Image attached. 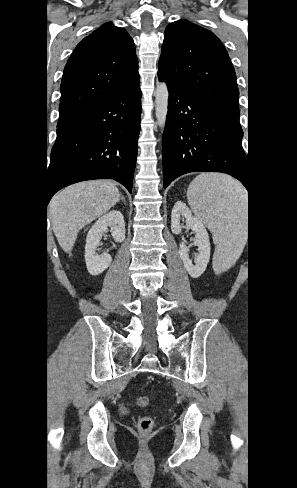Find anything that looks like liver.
Returning a JSON list of instances; mask_svg holds the SVG:
<instances>
[{"label":"liver","mask_w":297,"mask_h":488,"mask_svg":"<svg viewBox=\"0 0 297 488\" xmlns=\"http://www.w3.org/2000/svg\"><path fill=\"white\" fill-rule=\"evenodd\" d=\"M120 199L116 185L106 180L73 184L57 193L49 204V217L60 247L71 254L78 232L105 214Z\"/></svg>","instance_id":"6515ba94"}]
</instances>
